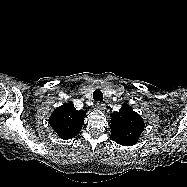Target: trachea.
I'll return each instance as SVG.
<instances>
[{
    "mask_svg": "<svg viewBox=\"0 0 187 187\" xmlns=\"http://www.w3.org/2000/svg\"><path fill=\"white\" fill-rule=\"evenodd\" d=\"M93 99L98 101V102H102L103 101V93H102V91L99 90V89H96L93 92Z\"/></svg>",
    "mask_w": 187,
    "mask_h": 187,
    "instance_id": "3493384b",
    "label": "trachea"
}]
</instances>
